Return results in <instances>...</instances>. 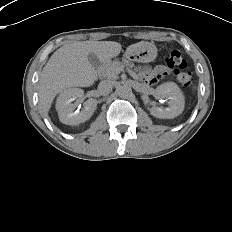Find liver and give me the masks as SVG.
Instances as JSON below:
<instances>
[{"mask_svg":"<svg viewBox=\"0 0 232 232\" xmlns=\"http://www.w3.org/2000/svg\"><path fill=\"white\" fill-rule=\"evenodd\" d=\"M148 42H138L127 47L132 53ZM122 45L114 41H83L65 44L56 50L42 70L38 93L39 107L47 116L55 96L70 87H90L97 79L88 54H96L101 62L118 56Z\"/></svg>","mask_w":232,"mask_h":232,"instance_id":"obj_1","label":"liver"}]
</instances>
